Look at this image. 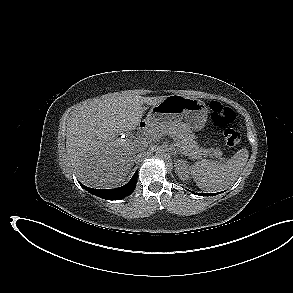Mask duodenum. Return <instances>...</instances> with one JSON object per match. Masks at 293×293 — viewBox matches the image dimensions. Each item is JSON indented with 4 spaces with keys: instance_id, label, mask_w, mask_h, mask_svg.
<instances>
[{
    "instance_id": "410a0bca",
    "label": "duodenum",
    "mask_w": 293,
    "mask_h": 293,
    "mask_svg": "<svg viewBox=\"0 0 293 293\" xmlns=\"http://www.w3.org/2000/svg\"><path fill=\"white\" fill-rule=\"evenodd\" d=\"M148 127H149V122H147L145 120H143L139 123V131L141 133L147 131Z\"/></svg>"
}]
</instances>
